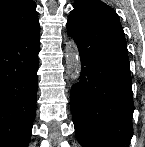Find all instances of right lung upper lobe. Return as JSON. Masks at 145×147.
Listing matches in <instances>:
<instances>
[{
    "label": "right lung upper lobe",
    "mask_w": 145,
    "mask_h": 147,
    "mask_svg": "<svg viewBox=\"0 0 145 147\" xmlns=\"http://www.w3.org/2000/svg\"><path fill=\"white\" fill-rule=\"evenodd\" d=\"M38 26L33 0H0V44Z\"/></svg>",
    "instance_id": "1"
}]
</instances>
